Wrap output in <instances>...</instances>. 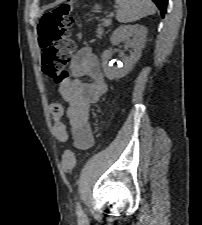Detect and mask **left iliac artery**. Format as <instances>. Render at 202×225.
I'll use <instances>...</instances> for the list:
<instances>
[{"instance_id": "1", "label": "left iliac artery", "mask_w": 202, "mask_h": 225, "mask_svg": "<svg viewBox=\"0 0 202 225\" xmlns=\"http://www.w3.org/2000/svg\"><path fill=\"white\" fill-rule=\"evenodd\" d=\"M76 213L78 216H82L83 215V210L81 208V205L79 202H76Z\"/></svg>"}]
</instances>
